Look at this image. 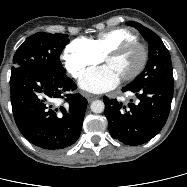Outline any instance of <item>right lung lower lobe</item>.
Instances as JSON below:
<instances>
[{
  "mask_svg": "<svg viewBox=\"0 0 187 187\" xmlns=\"http://www.w3.org/2000/svg\"><path fill=\"white\" fill-rule=\"evenodd\" d=\"M13 116L22 135L46 150H61L79 138L87 100L72 94L77 86L64 73L21 66L10 77ZM64 98L68 104L54 109L51 103Z\"/></svg>",
  "mask_w": 187,
  "mask_h": 187,
  "instance_id": "1",
  "label": "right lung lower lobe"
}]
</instances>
